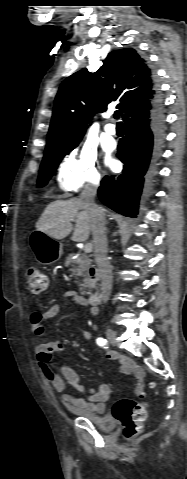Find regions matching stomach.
Returning a JSON list of instances; mask_svg holds the SVG:
<instances>
[{
    "instance_id": "obj_1",
    "label": "stomach",
    "mask_w": 187,
    "mask_h": 479,
    "mask_svg": "<svg viewBox=\"0 0 187 479\" xmlns=\"http://www.w3.org/2000/svg\"><path fill=\"white\" fill-rule=\"evenodd\" d=\"M29 243L36 260L43 265L55 263L63 254L62 243L39 230L31 233Z\"/></svg>"
}]
</instances>
